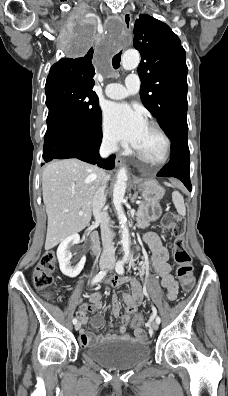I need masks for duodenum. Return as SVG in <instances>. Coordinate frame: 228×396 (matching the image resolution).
<instances>
[{"label": "duodenum", "mask_w": 228, "mask_h": 396, "mask_svg": "<svg viewBox=\"0 0 228 396\" xmlns=\"http://www.w3.org/2000/svg\"><path fill=\"white\" fill-rule=\"evenodd\" d=\"M92 240H93L94 244L96 245V237H95V235L92 236Z\"/></svg>", "instance_id": "duodenum-1"}]
</instances>
